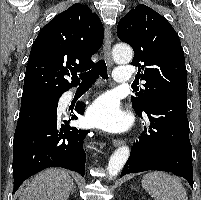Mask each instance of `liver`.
Masks as SVG:
<instances>
[{
	"label": "liver",
	"mask_w": 201,
	"mask_h": 200,
	"mask_svg": "<svg viewBox=\"0 0 201 200\" xmlns=\"http://www.w3.org/2000/svg\"><path fill=\"white\" fill-rule=\"evenodd\" d=\"M74 182L68 171L57 168L38 173L19 200H67Z\"/></svg>",
	"instance_id": "liver-1"
}]
</instances>
